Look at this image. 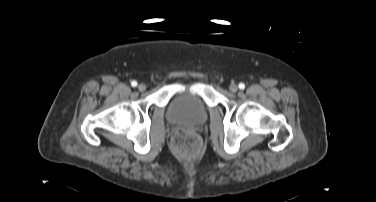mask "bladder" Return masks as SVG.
<instances>
[{"mask_svg": "<svg viewBox=\"0 0 376 202\" xmlns=\"http://www.w3.org/2000/svg\"><path fill=\"white\" fill-rule=\"evenodd\" d=\"M207 107L203 98L193 92L182 91L169 101L167 117L171 122L198 126L207 119Z\"/></svg>", "mask_w": 376, "mask_h": 202, "instance_id": "1", "label": "bladder"}]
</instances>
